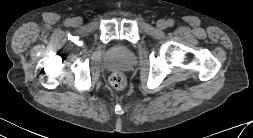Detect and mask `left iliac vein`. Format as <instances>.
Wrapping results in <instances>:
<instances>
[{
  "instance_id": "1",
  "label": "left iliac vein",
  "mask_w": 253,
  "mask_h": 138,
  "mask_svg": "<svg viewBox=\"0 0 253 138\" xmlns=\"http://www.w3.org/2000/svg\"><path fill=\"white\" fill-rule=\"evenodd\" d=\"M156 26L158 29L163 30L167 27V22L163 19H160L156 22Z\"/></svg>"
}]
</instances>
